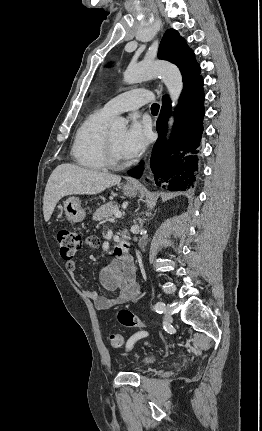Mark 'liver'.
<instances>
[{"label": "liver", "mask_w": 262, "mask_h": 431, "mask_svg": "<svg viewBox=\"0 0 262 431\" xmlns=\"http://www.w3.org/2000/svg\"><path fill=\"white\" fill-rule=\"evenodd\" d=\"M118 175L98 172L78 165L63 163L51 173L46 184L43 198L44 220L49 221L61 198L68 195H95L119 184Z\"/></svg>", "instance_id": "1"}]
</instances>
